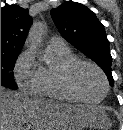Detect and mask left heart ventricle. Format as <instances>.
Masks as SVG:
<instances>
[{"label": "left heart ventricle", "instance_id": "left-heart-ventricle-1", "mask_svg": "<svg viewBox=\"0 0 123 130\" xmlns=\"http://www.w3.org/2000/svg\"><path fill=\"white\" fill-rule=\"evenodd\" d=\"M74 84L83 97L91 100L99 99L105 90L101 76L89 66H81L76 70Z\"/></svg>", "mask_w": 123, "mask_h": 130}]
</instances>
